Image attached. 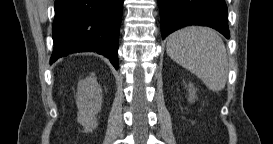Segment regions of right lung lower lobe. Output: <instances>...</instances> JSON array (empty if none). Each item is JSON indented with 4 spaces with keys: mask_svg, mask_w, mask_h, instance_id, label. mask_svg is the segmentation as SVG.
<instances>
[{
    "mask_svg": "<svg viewBox=\"0 0 273 144\" xmlns=\"http://www.w3.org/2000/svg\"><path fill=\"white\" fill-rule=\"evenodd\" d=\"M124 0H55L50 64L76 52H97L118 69V39Z\"/></svg>",
    "mask_w": 273,
    "mask_h": 144,
    "instance_id": "1",
    "label": "right lung lower lobe"
}]
</instances>
